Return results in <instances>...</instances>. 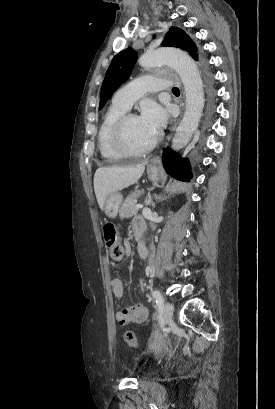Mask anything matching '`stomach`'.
<instances>
[{
    "instance_id": "1",
    "label": "stomach",
    "mask_w": 275,
    "mask_h": 409,
    "mask_svg": "<svg viewBox=\"0 0 275 409\" xmlns=\"http://www.w3.org/2000/svg\"><path fill=\"white\" fill-rule=\"evenodd\" d=\"M147 174L150 180H159L158 166H151V164H148ZM122 200L123 196L122 194H120V192H111V194H108V196H106L104 211L105 215H107L109 219H116L121 207Z\"/></svg>"
}]
</instances>
